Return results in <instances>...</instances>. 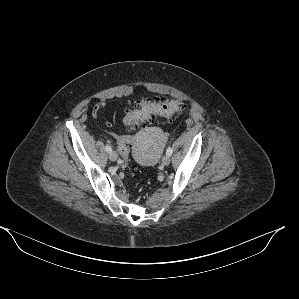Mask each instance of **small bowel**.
I'll use <instances>...</instances> for the list:
<instances>
[{"label":"small bowel","instance_id":"c3829d8e","mask_svg":"<svg viewBox=\"0 0 299 299\" xmlns=\"http://www.w3.org/2000/svg\"><path fill=\"white\" fill-rule=\"evenodd\" d=\"M115 140H116V143L118 145V149H119L120 154H122V146L124 144H130L131 143V138L129 136H117L115 138Z\"/></svg>","mask_w":299,"mask_h":299}]
</instances>
